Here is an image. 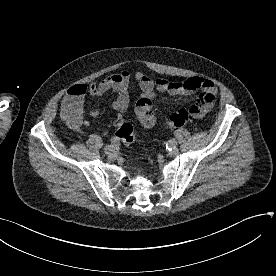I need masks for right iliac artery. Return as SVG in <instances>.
Wrapping results in <instances>:
<instances>
[{
  "label": "right iliac artery",
  "mask_w": 276,
  "mask_h": 276,
  "mask_svg": "<svg viewBox=\"0 0 276 276\" xmlns=\"http://www.w3.org/2000/svg\"><path fill=\"white\" fill-rule=\"evenodd\" d=\"M110 141H111L112 146H118L119 145V141L116 138H112Z\"/></svg>",
  "instance_id": "1"
}]
</instances>
